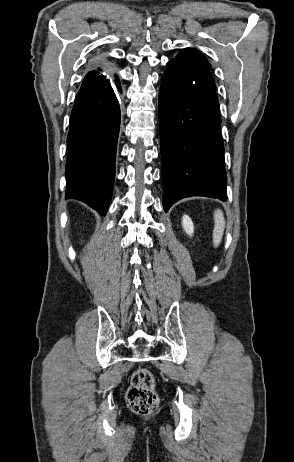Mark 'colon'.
I'll list each match as a JSON object with an SVG mask.
<instances>
[{
	"mask_svg": "<svg viewBox=\"0 0 294 462\" xmlns=\"http://www.w3.org/2000/svg\"><path fill=\"white\" fill-rule=\"evenodd\" d=\"M126 400L135 413L150 414L156 410L159 398L155 391V379L147 368H139L131 378Z\"/></svg>",
	"mask_w": 294,
	"mask_h": 462,
	"instance_id": "5ec220e1",
	"label": "colon"
}]
</instances>
